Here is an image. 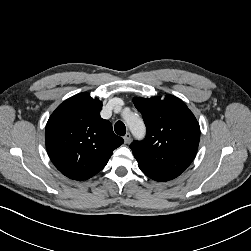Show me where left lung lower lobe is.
I'll list each match as a JSON object with an SVG mask.
<instances>
[{"instance_id":"0a47b994","label":"left lung lower lobe","mask_w":251,"mask_h":251,"mask_svg":"<svg viewBox=\"0 0 251 251\" xmlns=\"http://www.w3.org/2000/svg\"><path fill=\"white\" fill-rule=\"evenodd\" d=\"M142 172L145 175H147L148 177H150L151 179L156 180V181H168V180H171V179H174L177 177V176H173V175L158 174V173H152V172H148V171H142Z\"/></svg>"}]
</instances>
